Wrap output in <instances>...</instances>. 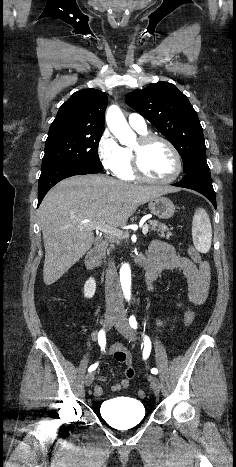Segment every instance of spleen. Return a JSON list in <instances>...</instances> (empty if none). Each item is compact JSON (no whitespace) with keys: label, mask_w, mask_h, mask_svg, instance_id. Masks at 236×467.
<instances>
[{"label":"spleen","mask_w":236,"mask_h":467,"mask_svg":"<svg viewBox=\"0 0 236 467\" xmlns=\"http://www.w3.org/2000/svg\"><path fill=\"white\" fill-rule=\"evenodd\" d=\"M192 237L195 248L201 253H207L211 247L212 227L205 210H196L192 220Z\"/></svg>","instance_id":"3e777b00"}]
</instances>
